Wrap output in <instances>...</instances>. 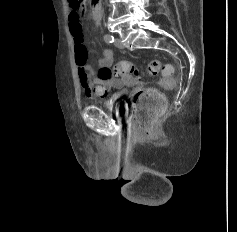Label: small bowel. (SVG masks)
<instances>
[{
    "mask_svg": "<svg viewBox=\"0 0 237 232\" xmlns=\"http://www.w3.org/2000/svg\"><path fill=\"white\" fill-rule=\"evenodd\" d=\"M101 17L100 8L93 9V18L99 22ZM69 29L73 37L76 64L78 67L81 87L89 98H103L113 90L122 88V81L116 77L111 69L114 61V53L111 49H105L98 60L97 74L87 65L88 53L84 45V36L80 14L73 10L69 14ZM119 93L112 94L109 102L116 100Z\"/></svg>",
    "mask_w": 237,
    "mask_h": 232,
    "instance_id": "1",
    "label": "small bowel"
}]
</instances>
